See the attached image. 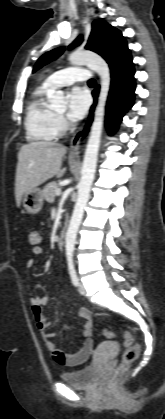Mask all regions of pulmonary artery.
I'll return each instance as SVG.
<instances>
[{"mask_svg": "<svg viewBox=\"0 0 165 419\" xmlns=\"http://www.w3.org/2000/svg\"><path fill=\"white\" fill-rule=\"evenodd\" d=\"M89 79V71L82 67H69L48 76L44 84L50 88L69 86Z\"/></svg>", "mask_w": 165, "mask_h": 419, "instance_id": "obj_1", "label": "pulmonary artery"}]
</instances>
